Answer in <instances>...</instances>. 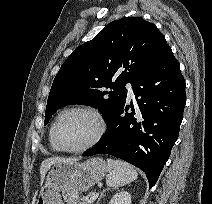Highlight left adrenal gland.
Here are the masks:
<instances>
[{"label":"left adrenal gland","mask_w":212,"mask_h":204,"mask_svg":"<svg viewBox=\"0 0 212 204\" xmlns=\"http://www.w3.org/2000/svg\"><path fill=\"white\" fill-rule=\"evenodd\" d=\"M107 190H108V189H104V190L101 192L100 196H99L98 199H97L96 204H99V202L101 201V199H102V197H103L104 192L107 191Z\"/></svg>","instance_id":"left-adrenal-gland-1"}]
</instances>
